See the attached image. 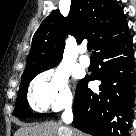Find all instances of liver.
Returning a JSON list of instances; mask_svg holds the SVG:
<instances>
[{
    "instance_id": "liver-1",
    "label": "liver",
    "mask_w": 136,
    "mask_h": 136,
    "mask_svg": "<svg viewBox=\"0 0 136 136\" xmlns=\"http://www.w3.org/2000/svg\"><path fill=\"white\" fill-rule=\"evenodd\" d=\"M73 136L71 129L62 127L55 122H45L38 125H29L20 128L14 136ZM75 136H84L83 133H76Z\"/></svg>"
}]
</instances>
